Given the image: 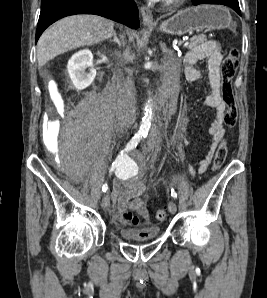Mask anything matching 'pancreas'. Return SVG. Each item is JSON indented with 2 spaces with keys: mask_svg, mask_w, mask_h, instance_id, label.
Segmentation results:
<instances>
[{
  "mask_svg": "<svg viewBox=\"0 0 267 298\" xmlns=\"http://www.w3.org/2000/svg\"><path fill=\"white\" fill-rule=\"evenodd\" d=\"M206 40V36L205 35H198V36H194L190 39V44H189V48H193L196 47L197 45H199L200 43H203Z\"/></svg>",
  "mask_w": 267,
  "mask_h": 298,
  "instance_id": "obj_1",
  "label": "pancreas"
}]
</instances>
